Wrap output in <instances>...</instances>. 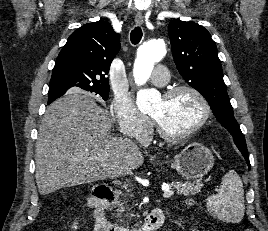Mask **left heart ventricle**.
<instances>
[{
	"label": "left heart ventricle",
	"instance_id": "1",
	"mask_svg": "<svg viewBox=\"0 0 268 231\" xmlns=\"http://www.w3.org/2000/svg\"><path fill=\"white\" fill-rule=\"evenodd\" d=\"M149 112L167 131L182 133L199 121L202 107L194 96L181 93L170 100L158 99L152 104Z\"/></svg>",
	"mask_w": 268,
	"mask_h": 231
}]
</instances>
